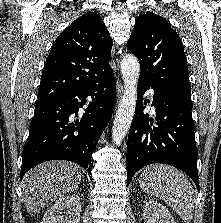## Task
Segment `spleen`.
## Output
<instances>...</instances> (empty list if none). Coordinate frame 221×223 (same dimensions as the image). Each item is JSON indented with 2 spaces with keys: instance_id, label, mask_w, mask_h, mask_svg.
I'll use <instances>...</instances> for the list:
<instances>
[{
  "instance_id": "obj_1",
  "label": "spleen",
  "mask_w": 221,
  "mask_h": 223,
  "mask_svg": "<svg viewBox=\"0 0 221 223\" xmlns=\"http://www.w3.org/2000/svg\"><path fill=\"white\" fill-rule=\"evenodd\" d=\"M139 185L145 193L164 200L186 223H190L194 189L182 172L166 165H152L140 175Z\"/></svg>"
}]
</instances>
